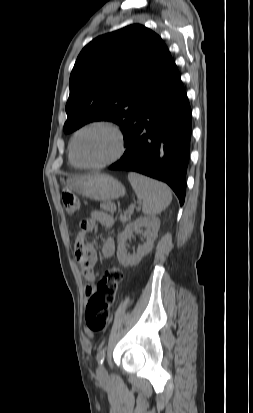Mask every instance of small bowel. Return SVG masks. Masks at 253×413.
<instances>
[{
  "mask_svg": "<svg viewBox=\"0 0 253 413\" xmlns=\"http://www.w3.org/2000/svg\"><path fill=\"white\" fill-rule=\"evenodd\" d=\"M116 211V205L111 202L102 204L101 211H93L91 214L81 221L80 230L75 238V256L77 264L80 268L81 274L86 280L85 294L90 297L95 287L96 279L94 273V266L97 262L98 255L87 238V233L94 228L95 223H99L104 228H110L114 223L113 215ZM101 255L104 258H110L115 252V242L112 238L107 237L103 240Z\"/></svg>",
  "mask_w": 253,
  "mask_h": 413,
  "instance_id": "small-bowel-1",
  "label": "small bowel"
}]
</instances>
